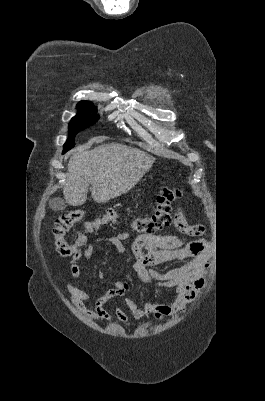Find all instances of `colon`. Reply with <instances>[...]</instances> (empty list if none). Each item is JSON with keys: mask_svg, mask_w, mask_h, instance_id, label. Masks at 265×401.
<instances>
[{"mask_svg": "<svg viewBox=\"0 0 265 401\" xmlns=\"http://www.w3.org/2000/svg\"><path fill=\"white\" fill-rule=\"evenodd\" d=\"M180 196V190L171 187H164L157 196V208L149 215L139 216L132 220L131 227L140 234H152L153 232L168 226L171 222V203ZM84 216V211L76 209L61 214L55 221L52 230L57 252L63 257H71L74 252L85 242L86 234L98 229L100 226L113 222L117 218L114 210L106 212L101 218L88 221L85 230L74 244H69L65 236L73 225Z\"/></svg>", "mask_w": 265, "mask_h": 401, "instance_id": "1", "label": "colon"}]
</instances>
